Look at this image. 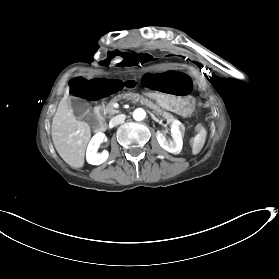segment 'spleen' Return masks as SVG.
Listing matches in <instances>:
<instances>
[{
    "label": "spleen",
    "instance_id": "3e777b00",
    "mask_svg": "<svg viewBox=\"0 0 279 279\" xmlns=\"http://www.w3.org/2000/svg\"><path fill=\"white\" fill-rule=\"evenodd\" d=\"M205 131L203 129H198V136H194L191 139V150H193V154H197L199 152V148H202V145L205 141Z\"/></svg>",
    "mask_w": 279,
    "mask_h": 279
}]
</instances>
